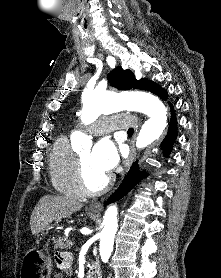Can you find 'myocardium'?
I'll return each instance as SVG.
<instances>
[{"instance_id":"myocardium-1","label":"myocardium","mask_w":221,"mask_h":278,"mask_svg":"<svg viewBox=\"0 0 221 278\" xmlns=\"http://www.w3.org/2000/svg\"><path fill=\"white\" fill-rule=\"evenodd\" d=\"M75 176L80 191L83 195L87 196H97L104 193L110 188L113 182V177L109 175L98 188H91L87 182L85 168L79 155H76L75 159Z\"/></svg>"}]
</instances>
